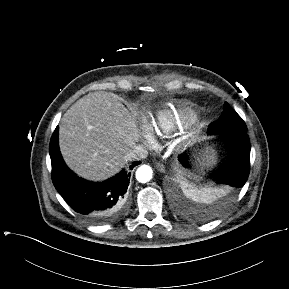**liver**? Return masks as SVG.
I'll return each instance as SVG.
<instances>
[{
    "label": "liver",
    "mask_w": 289,
    "mask_h": 289,
    "mask_svg": "<svg viewBox=\"0 0 289 289\" xmlns=\"http://www.w3.org/2000/svg\"><path fill=\"white\" fill-rule=\"evenodd\" d=\"M141 137L134 111L111 92L96 91L76 101L59 125V148L79 176L103 181L125 167Z\"/></svg>",
    "instance_id": "liver-1"
}]
</instances>
